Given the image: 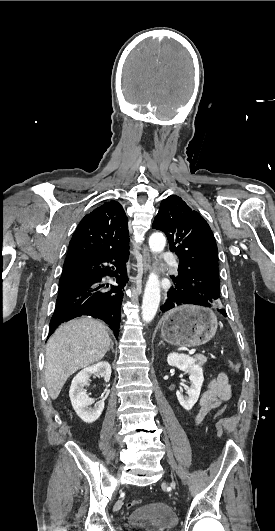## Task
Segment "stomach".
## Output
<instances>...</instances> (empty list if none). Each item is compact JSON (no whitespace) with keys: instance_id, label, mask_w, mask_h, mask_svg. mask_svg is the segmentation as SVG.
<instances>
[{"instance_id":"obj_1","label":"stomach","mask_w":275,"mask_h":531,"mask_svg":"<svg viewBox=\"0 0 275 531\" xmlns=\"http://www.w3.org/2000/svg\"><path fill=\"white\" fill-rule=\"evenodd\" d=\"M218 325L215 313L199 301H181L162 317L161 337L176 347H199L213 339Z\"/></svg>"}]
</instances>
